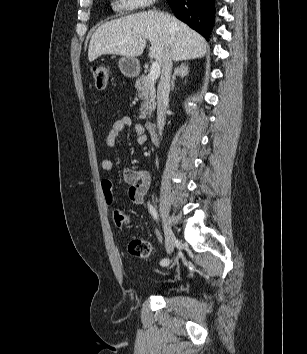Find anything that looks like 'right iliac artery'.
Listing matches in <instances>:
<instances>
[{"instance_id": "82829eb1", "label": "right iliac artery", "mask_w": 307, "mask_h": 354, "mask_svg": "<svg viewBox=\"0 0 307 354\" xmlns=\"http://www.w3.org/2000/svg\"><path fill=\"white\" fill-rule=\"evenodd\" d=\"M148 207H149V212L151 213V215L153 216L154 219H157L158 218V215H157V211L156 209L150 204L148 203ZM170 261L169 259L167 258H164L160 261V265L161 266H167L169 265Z\"/></svg>"}]
</instances>
